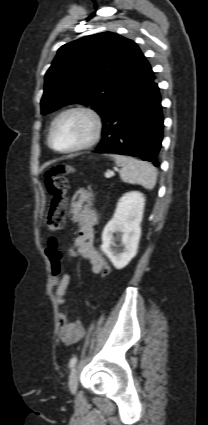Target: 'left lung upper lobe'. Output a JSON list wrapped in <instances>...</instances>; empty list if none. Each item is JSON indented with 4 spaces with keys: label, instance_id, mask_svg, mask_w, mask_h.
<instances>
[{
    "label": "left lung upper lobe",
    "instance_id": "5c2ea615",
    "mask_svg": "<svg viewBox=\"0 0 208 425\" xmlns=\"http://www.w3.org/2000/svg\"><path fill=\"white\" fill-rule=\"evenodd\" d=\"M145 60L136 43L112 32L63 45L45 75L42 114L79 103L102 115Z\"/></svg>",
    "mask_w": 208,
    "mask_h": 425
}]
</instances>
